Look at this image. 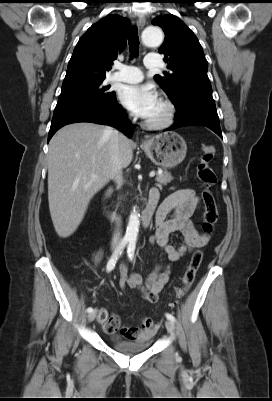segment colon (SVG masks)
Masks as SVG:
<instances>
[{
    "label": "colon",
    "instance_id": "5ec220e1",
    "mask_svg": "<svg viewBox=\"0 0 272 401\" xmlns=\"http://www.w3.org/2000/svg\"><path fill=\"white\" fill-rule=\"evenodd\" d=\"M215 156V148L211 145L202 147V153L196 166L197 176L202 184L201 198L203 202V224L202 228L205 234H210L217 222L218 210L214 194V187L217 185V175L211 167V162ZM203 254L200 250L194 252L185 274L182 277L181 285L176 290V297H183L194 282L196 272L202 261ZM99 319L104 324L110 320L107 314H100ZM147 322H153L151 319H145Z\"/></svg>",
    "mask_w": 272,
    "mask_h": 401
}]
</instances>
